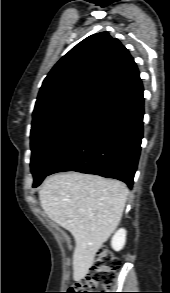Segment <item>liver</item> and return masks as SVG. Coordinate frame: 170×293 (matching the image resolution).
<instances>
[{"instance_id": "6515ba94", "label": "liver", "mask_w": 170, "mask_h": 293, "mask_svg": "<svg viewBox=\"0 0 170 293\" xmlns=\"http://www.w3.org/2000/svg\"><path fill=\"white\" fill-rule=\"evenodd\" d=\"M127 186L118 180L78 172L48 177L39 191L46 215L74 237L73 279L82 280L102 244L117 228Z\"/></svg>"}]
</instances>
